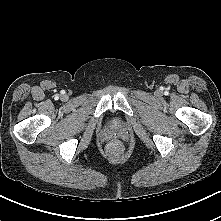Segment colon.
Masks as SVG:
<instances>
[{
  "label": "colon",
  "instance_id": "colon-1",
  "mask_svg": "<svg viewBox=\"0 0 221 221\" xmlns=\"http://www.w3.org/2000/svg\"><path fill=\"white\" fill-rule=\"evenodd\" d=\"M108 149L113 154L121 153L123 150L122 144L118 141H114L109 144Z\"/></svg>",
  "mask_w": 221,
  "mask_h": 221
}]
</instances>
